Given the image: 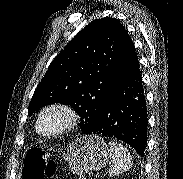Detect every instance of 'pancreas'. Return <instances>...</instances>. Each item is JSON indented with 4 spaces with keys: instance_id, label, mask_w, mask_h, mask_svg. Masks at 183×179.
Returning a JSON list of instances; mask_svg holds the SVG:
<instances>
[{
    "instance_id": "1",
    "label": "pancreas",
    "mask_w": 183,
    "mask_h": 179,
    "mask_svg": "<svg viewBox=\"0 0 183 179\" xmlns=\"http://www.w3.org/2000/svg\"><path fill=\"white\" fill-rule=\"evenodd\" d=\"M78 179H86L85 177H83V176H80Z\"/></svg>"
}]
</instances>
